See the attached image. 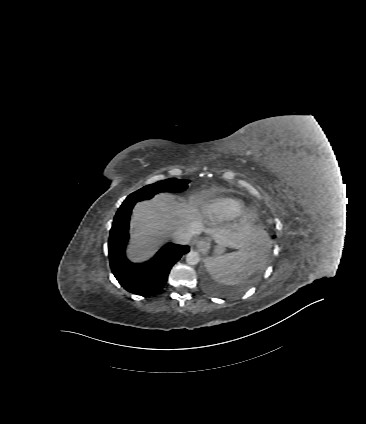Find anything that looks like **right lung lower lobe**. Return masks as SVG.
<instances>
[{"mask_svg": "<svg viewBox=\"0 0 366 424\" xmlns=\"http://www.w3.org/2000/svg\"><path fill=\"white\" fill-rule=\"evenodd\" d=\"M134 203L121 205L110 230L108 248L112 272L127 291L149 296L162 289L172 266L188 253L189 246L165 245L151 260L134 264L125 255L129 239V220Z\"/></svg>", "mask_w": 366, "mask_h": 424, "instance_id": "obj_1", "label": "right lung lower lobe"}]
</instances>
